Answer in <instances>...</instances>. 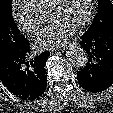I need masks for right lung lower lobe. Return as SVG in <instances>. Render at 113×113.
Returning <instances> with one entry per match:
<instances>
[{"label": "right lung lower lobe", "mask_w": 113, "mask_h": 113, "mask_svg": "<svg viewBox=\"0 0 113 113\" xmlns=\"http://www.w3.org/2000/svg\"><path fill=\"white\" fill-rule=\"evenodd\" d=\"M29 41L26 39L0 58V80L7 89L22 100H34L41 96L47 86L45 63L50 55L44 51L30 56Z\"/></svg>", "instance_id": "right-lung-lower-lobe-1"}]
</instances>
